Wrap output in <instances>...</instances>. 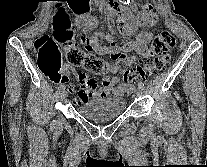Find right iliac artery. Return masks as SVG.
Returning <instances> with one entry per match:
<instances>
[{
  "instance_id": "82829eb1",
  "label": "right iliac artery",
  "mask_w": 207,
  "mask_h": 167,
  "mask_svg": "<svg viewBox=\"0 0 207 167\" xmlns=\"http://www.w3.org/2000/svg\"><path fill=\"white\" fill-rule=\"evenodd\" d=\"M65 89V86L63 84H61L59 87H58V92L61 93L63 92Z\"/></svg>"
}]
</instances>
